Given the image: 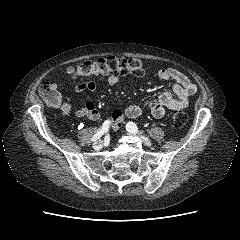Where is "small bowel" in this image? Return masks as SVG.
Returning <instances> with one entry per match:
<instances>
[{
    "label": "small bowel",
    "mask_w": 240,
    "mask_h": 240,
    "mask_svg": "<svg viewBox=\"0 0 240 240\" xmlns=\"http://www.w3.org/2000/svg\"><path fill=\"white\" fill-rule=\"evenodd\" d=\"M157 76L163 81H172V92H163L157 99L147 102L146 106L151 114L156 118H161L165 115L167 109L176 110L187 107L190 97L196 92V85L185 74L174 68L160 69ZM120 81L118 76H108L106 84L115 86ZM52 86L57 90L58 85L56 83H52ZM96 89L97 86L94 81L85 80L79 82L73 88V91L76 93L83 91L95 92ZM59 97L61 99L60 112L63 116L68 117L72 113V106L69 103H62L60 94ZM74 113L77 117H86L99 123L103 121L99 110L92 101L85 102ZM141 114L142 107L140 105H130L124 110L113 111V129L117 131L125 118H137Z\"/></svg>",
    "instance_id": "small-bowel-1"
}]
</instances>
